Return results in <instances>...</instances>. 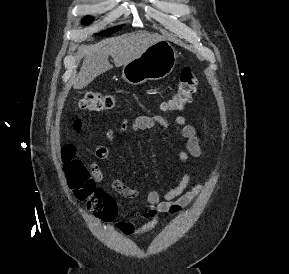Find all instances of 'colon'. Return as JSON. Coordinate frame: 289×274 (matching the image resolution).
Returning <instances> with one entry per match:
<instances>
[{"mask_svg":"<svg viewBox=\"0 0 289 274\" xmlns=\"http://www.w3.org/2000/svg\"><path fill=\"white\" fill-rule=\"evenodd\" d=\"M197 77L189 67L183 68L175 93L162 104L165 111H180L192 99L197 87ZM115 99L109 94L89 92L80 100V107L84 110L98 112L112 109ZM75 147L66 144L62 148V160L68 183L79 200L84 202L89 210L97 217L111 219L115 214V202L103 189L96 186L91 172L86 166L75 160Z\"/></svg>","mask_w":289,"mask_h":274,"instance_id":"colon-1","label":"colon"}]
</instances>
